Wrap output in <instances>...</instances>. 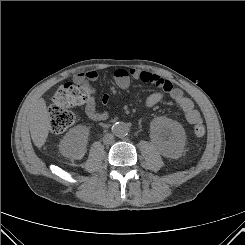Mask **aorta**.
Instances as JSON below:
<instances>
[{
  "instance_id": "obj_1",
  "label": "aorta",
  "mask_w": 245,
  "mask_h": 245,
  "mask_svg": "<svg viewBox=\"0 0 245 245\" xmlns=\"http://www.w3.org/2000/svg\"><path fill=\"white\" fill-rule=\"evenodd\" d=\"M112 131L116 136H125L129 131V127L124 122H117L112 126Z\"/></svg>"
}]
</instances>
